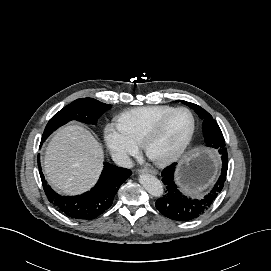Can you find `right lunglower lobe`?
Returning <instances> with one entry per match:
<instances>
[{
	"label": "right lung lower lobe",
	"instance_id": "obj_1",
	"mask_svg": "<svg viewBox=\"0 0 271 271\" xmlns=\"http://www.w3.org/2000/svg\"><path fill=\"white\" fill-rule=\"evenodd\" d=\"M38 166L48 200L61 212L75 219L90 220L104 213L111 206L120 185L131 175L129 169L105 162L103 172L94 188L82 195L65 197L55 193L47 185L40 168L39 156Z\"/></svg>",
	"mask_w": 271,
	"mask_h": 271
}]
</instances>
